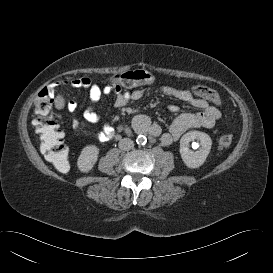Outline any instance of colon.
<instances>
[{"mask_svg": "<svg viewBox=\"0 0 273 273\" xmlns=\"http://www.w3.org/2000/svg\"><path fill=\"white\" fill-rule=\"evenodd\" d=\"M155 76L147 70H132L116 74L110 83L116 87H133L137 85L150 84L154 82ZM194 92L211 103L219 106L221 98L219 94L206 86H194ZM52 94L48 88H44L38 94L35 101L36 119L33 121L35 131L40 137V150L45 159L51 162L55 168L62 173L69 170L68 152L64 144V136L58 123L52 118ZM233 138L231 135H221L218 144L222 148L231 146Z\"/></svg>", "mask_w": 273, "mask_h": 273, "instance_id": "1", "label": "colon"}]
</instances>
